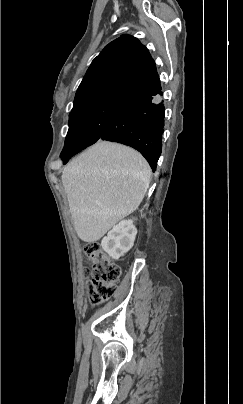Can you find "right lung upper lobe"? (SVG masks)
<instances>
[{
	"mask_svg": "<svg viewBox=\"0 0 243 404\" xmlns=\"http://www.w3.org/2000/svg\"><path fill=\"white\" fill-rule=\"evenodd\" d=\"M160 90L147 48L135 37L122 35L93 60L76 92L73 109L104 100L128 102Z\"/></svg>",
	"mask_w": 243,
	"mask_h": 404,
	"instance_id": "right-lung-upper-lobe-1",
	"label": "right lung upper lobe"
}]
</instances>
